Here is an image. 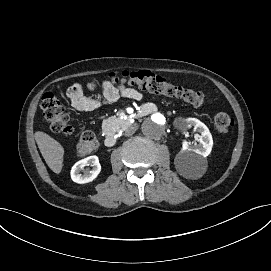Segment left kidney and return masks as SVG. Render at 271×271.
I'll use <instances>...</instances> for the list:
<instances>
[{"label": "left kidney", "mask_w": 271, "mask_h": 271, "mask_svg": "<svg viewBox=\"0 0 271 271\" xmlns=\"http://www.w3.org/2000/svg\"><path fill=\"white\" fill-rule=\"evenodd\" d=\"M185 125L189 128L193 126L201 135L199 137L198 145L191 146L189 142L183 141L182 150L176 157L177 160L183 165L191 163L192 160L197 159V155L202 157L208 156L213 146L212 135L204 123L196 118H188L185 121Z\"/></svg>", "instance_id": "left-kidney-1"}]
</instances>
